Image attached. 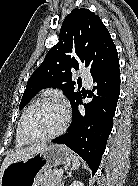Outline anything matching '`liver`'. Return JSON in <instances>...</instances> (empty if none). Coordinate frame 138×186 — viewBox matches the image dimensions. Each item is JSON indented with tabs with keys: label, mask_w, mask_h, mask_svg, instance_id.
<instances>
[{
	"label": "liver",
	"mask_w": 138,
	"mask_h": 186,
	"mask_svg": "<svg viewBox=\"0 0 138 186\" xmlns=\"http://www.w3.org/2000/svg\"><path fill=\"white\" fill-rule=\"evenodd\" d=\"M47 146L46 143L36 144L32 145L31 147L25 148V149H19L15 151H11L6 158L4 159L1 169H0V179L2 176V173L4 169L12 162L16 161H24L28 160L31 157H33L35 154L40 152L42 149H44Z\"/></svg>",
	"instance_id": "1"
}]
</instances>
